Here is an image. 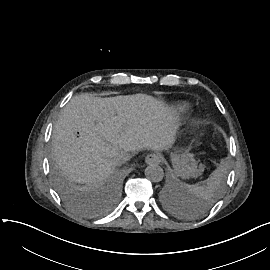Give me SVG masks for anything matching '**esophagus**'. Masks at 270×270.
<instances>
[{
	"mask_svg": "<svg viewBox=\"0 0 270 270\" xmlns=\"http://www.w3.org/2000/svg\"><path fill=\"white\" fill-rule=\"evenodd\" d=\"M146 160V163L148 165H152V164H159L160 162V157L155 154V153H152V154H148L145 158Z\"/></svg>",
	"mask_w": 270,
	"mask_h": 270,
	"instance_id": "1",
	"label": "esophagus"
}]
</instances>
